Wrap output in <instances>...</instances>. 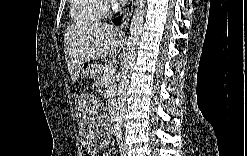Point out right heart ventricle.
<instances>
[{"label":"right heart ventricle","instance_id":"obj_1","mask_svg":"<svg viewBox=\"0 0 247 156\" xmlns=\"http://www.w3.org/2000/svg\"><path fill=\"white\" fill-rule=\"evenodd\" d=\"M70 16L76 24H91L102 17L101 1L73 0L70 3Z\"/></svg>","mask_w":247,"mask_h":156}]
</instances>
